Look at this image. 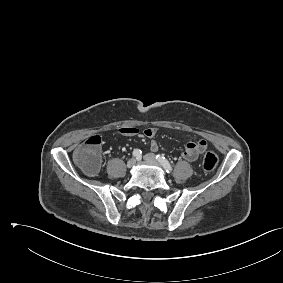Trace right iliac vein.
<instances>
[{
  "mask_svg": "<svg viewBox=\"0 0 283 283\" xmlns=\"http://www.w3.org/2000/svg\"><path fill=\"white\" fill-rule=\"evenodd\" d=\"M135 163H136V160L134 158H131L127 161V167L131 168L135 165Z\"/></svg>",
  "mask_w": 283,
  "mask_h": 283,
  "instance_id": "right-iliac-vein-1",
  "label": "right iliac vein"
}]
</instances>
